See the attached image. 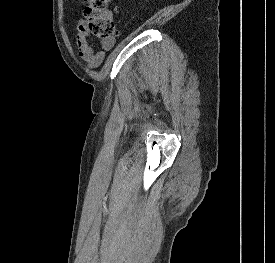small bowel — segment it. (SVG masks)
I'll return each instance as SVG.
<instances>
[{
	"instance_id": "obj_1",
	"label": "small bowel",
	"mask_w": 275,
	"mask_h": 263,
	"mask_svg": "<svg viewBox=\"0 0 275 263\" xmlns=\"http://www.w3.org/2000/svg\"><path fill=\"white\" fill-rule=\"evenodd\" d=\"M88 33L83 21H79L76 32V43L79 56L87 62L90 69L98 67L105 59V51L111 50L115 44V39L103 41L102 50L94 52L87 39Z\"/></svg>"
}]
</instances>
